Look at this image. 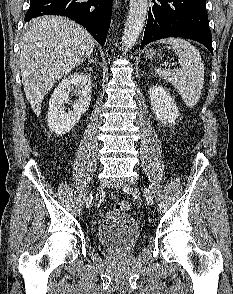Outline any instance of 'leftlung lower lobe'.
<instances>
[{
  "mask_svg": "<svg viewBox=\"0 0 233 294\" xmlns=\"http://www.w3.org/2000/svg\"><path fill=\"white\" fill-rule=\"evenodd\" d=\"M166 37L198 41L213 54L205 0H153L140 48Z\"/></svg>",
  "mask_w": 233,
  "mask_h": 294,
  "instance_id": "obj_1",
  "label": "left lung lower lobe"
}]
</instances>
